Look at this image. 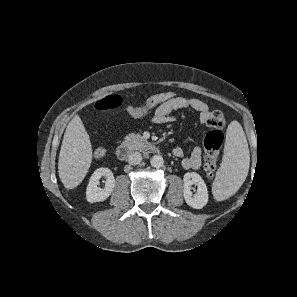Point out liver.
Segmentation results:
<instances>
[{
  "instance_id": "obj_1",
  "label": "liver",
  "mask_w": 297,
  "mask_h": 297,
  "mask_svg": "<svg viewBox=\"0 0 297 297\" xmlns=\"http://www.w3.org/2000/svg\"><path fill=\"white\" fill-rule=\"evenodd\" d=\"M92 162V146L78 115L69 122L62 141L58 173L67 189H74L85 178Z\"/></svg>"
}]
</instances>
